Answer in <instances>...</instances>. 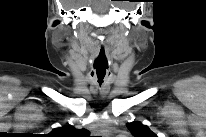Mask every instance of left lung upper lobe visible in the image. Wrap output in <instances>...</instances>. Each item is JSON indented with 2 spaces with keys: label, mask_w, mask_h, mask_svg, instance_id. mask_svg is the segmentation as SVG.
<instances>
[{
  "label": "left lung upper lobe",
  "mask_w": 206,
  "mask_h": 137,
  "mask_svg": "<svg viewBox=\"0 0 206 137\" xmlns=\"http://www.w3.org/2000/svg\"><path fill=\"white\" fill-rule=\"evenodd\" d=\"M127 128L134 137H157L146 125L138 121L127 123Z\"/></svg>",
  "instance_id": "5c2ea615"
}]
</instances>
